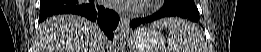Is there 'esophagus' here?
I'll list each match as a JSON object with an SVG mask.
<instances>
[{"label": "esophagus", "instance_id": "1", "mask_svg": "<svg viewBox=\"0 0 261 52\" xmlns=\"http://www.w3.org/2000/svg\"><path fill=\"white\" fill-rule=\"evenodd\" d=\"M121 32L128 33L129 31V17L126 15H121L120 16V21H119V27H118Z\"/></svg>", "mask_w": 261, "mask_h": 52}]
</instances>
